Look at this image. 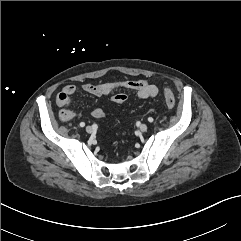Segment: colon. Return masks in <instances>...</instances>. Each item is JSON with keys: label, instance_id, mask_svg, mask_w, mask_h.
<instances>
[{"label": "colon", "instance_id": "obj_1", "mask_svg": "<svg viewBox=\"0 0 241 241\" xmlns=\"http://www.w3.org/2000/svg\"><path fill=\"white\" fill-rule=\"evenodd\" d=\"M164 100L168 108H173L175 106L176 100L173 92L165 87L163 89ZM127 99V96L123 93L116 94L112 97V100L116 103H123Z\"/></svg>", "mask_w": 241, "mask_h": 241}]
</instances>
